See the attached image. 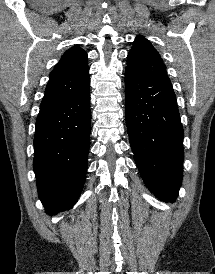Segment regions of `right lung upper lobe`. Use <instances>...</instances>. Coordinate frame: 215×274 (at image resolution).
Returning <instances> with one entry per match:
<instances>
[{"instance_id": "obj_1", "label": "right lung upper lobe", "mask_w": 215, "mask_h": 274, "mask_svg": "<svg viewBox=\"0 0 215 274\" xmlns=\"http://www.w3.org/2000/svg\"><path fill=\"white\" fill-rule=\"evenodd\" d=\"M87 54L79 46L67 50L49 76L40 109L49 108L73 97L89 81Z\"/></svg>"}]
</instances>
